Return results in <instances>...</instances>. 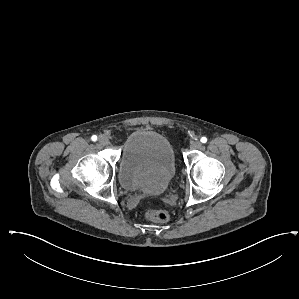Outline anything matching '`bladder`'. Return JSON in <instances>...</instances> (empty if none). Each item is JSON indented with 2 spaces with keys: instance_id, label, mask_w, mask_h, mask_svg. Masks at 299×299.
<instances>
[{
  "instance_id": "bladder-1",
  "label": "bladder",
  "mask_w": 299,
  "mask_h": 299,
  "mask_svg": "<svg viewBox=\"0 0 299 299\" xmlns=\"http://www.w3.org/2000/svg\"><path fill=\"white\" fill-rule=\"evenodd\" d=\"M175 172V152L165 136L146 129L128 135L118 165L123 188L159 194L167 189Z\"/></svg>"
}]
</instances>
